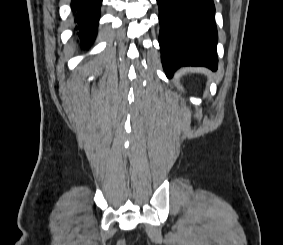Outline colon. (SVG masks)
Here are the masks:
<instances>
[{
    "label": "colon",
    "instance_id": "obj_1",
    "mask_svg": "<svg viewBox=\"0 0 283 245\" xmlns=\"http://www.w3.org/2000/svg\"><path fill=\"white\" fill-rule=\"evenodd\" d=\"M118 245H125L124 241H120Z\"/></svg>",
    "mask_w": 283,
    "mask_h": 245
}]
</instances>
